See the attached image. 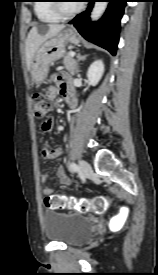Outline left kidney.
<instances>
[{
    "label": "left kidney",
    "instance_id": "left-kidney-1",
    "mask_svg": "<svg viewBox=\"0 0 158 275\" xmlns=\"http://www.w3.org/2000/svg\"><path fill=\"white\" fill-rule=\"evenodd\" d=\"M104 73V64L102 60H96L94 61L88 71H87V78L89 83L92 86H95L98 84V82L100 81V79L102 78Z\"/></svg>",
    "mask_w": 158,
    "mask_h": 275
}]
</instances>
